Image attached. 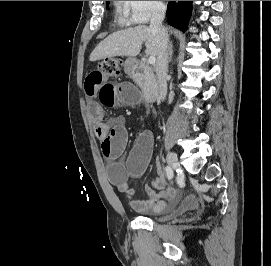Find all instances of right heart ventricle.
I'll return each instance as SVG.
<instances>
[{
  "label": "right heart ventricle",
  "instance_id": "e07e8e85",
  "mask_svg": "<svg viewBox=\"0 0 271 266\" xmlns=\"http://www.w3.org/2000/svg\"><path fill=\"white\" fill-rule=\"evenodd\" d=\"M121 3L122 1H116V9L119 14L121 13V6H120Z\"/></svg>",
  "mask_w": 271,
  "mask_h": 266
}]
</instances>
